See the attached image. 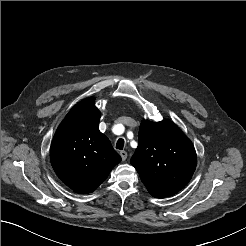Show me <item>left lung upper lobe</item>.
<instances>
[{"mask_svg": "<svg viewBox=\"0 0 246 246\" xmlns=\"http://www.w3.org/2000/svg\"><path fill=\"white\" fill-rule=\"evenodd\" d=\"M130 163L152 196H171L190 181L197 163L192 142L171 121L144 120Z\"/></svg>", "mask_w": 246, "mask_h": 246, "instance_id": "obj_1", "label": "left lung upper lobe"}]
</instances>
